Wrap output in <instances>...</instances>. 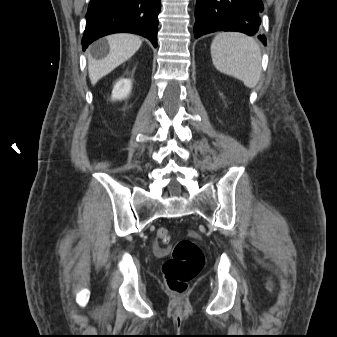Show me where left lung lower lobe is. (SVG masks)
I'll return each mask as SVG.
<instances>
[{"label": "left lung lower lobe", "mask_w": 337, "mask_h": 337, "mask_svg": "<svg viewBox=\"0 0 337 337\" xmlns=\"http://www.w3.org/2000/svg\"><path fill=\"white\" fill-rule=\"evenodd\" d=\"M261 0H197L195 38L215 31H238L250 36L259 31ZM258 38L266 45L265 35Z\"/></svg>", "instance_id": "0a47b994"}]
</instances>
